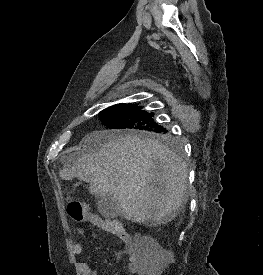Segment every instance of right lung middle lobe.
<instances>
[{"label":"right lung middle lobe","mask_w":263,"mask_h":275,"mask_svg":"<svg viewBox=\"0 0 263 275\" xmlns=\"http://www.w3.org/2000/svg\"><path fill=\"white\" fill-rule=\"evenodd\" d=\"M154 114L141 110L131 103H121L100 112L99 118L110 129H130L137 131L141 137H149L159 142L176 145V139L163 126L158 125Z\"/></svg>","instance_id":"right-lung-middle-lobe-1"}]
</instances>
